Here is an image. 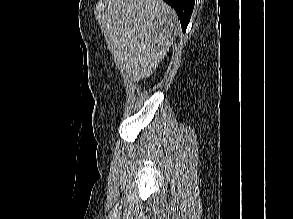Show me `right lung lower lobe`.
<instances>
[{
  "mask_svg": "<svg viewBox=\"0 0 293 219\" xmlns=\"http://www.w3.org/2000/svg\"><path fill=\"white\" fill-rule=\"evenodd\" d=\"M173 7L180 19L182 30L185 31L190 21L195 0H164Z\"/></svg>",
  "mask_w": 293,
  "mask_h": 219,
  "instance_id": "98d812e1",
  "label": "right lung lower lobe"
}]
</instances>
